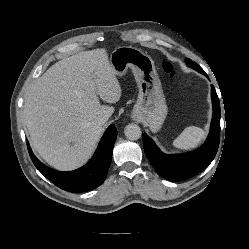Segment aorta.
Listing matches in <instances>:
<instances>
[{"label": "aorta", "instance_id": "762f6f07", "mask_svg": "<svg viewBox=\"0 0 249 249\" xmlns=\"http://www.w3.org/2000/svg\"><path fill=\"white\" fill-rule=\"evenodd\" d=\"M124 133L129 140H138L141 137V129L137 124H128Z\"/></svg>", "mask_w": 249, "mask_h": 249}]
</instances>
